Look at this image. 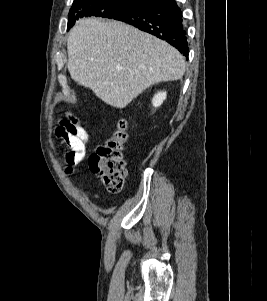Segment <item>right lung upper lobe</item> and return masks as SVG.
<instances>
[{"instance_id":"cb5924a9","label":"right lung upper lobe","mask_w":267,"mask_h":301,"mask_svg":"<svg viewBox=\"0 0 267 301\" xmlns=\"http://www.w3.org/2000/svg\"><path fill=\"white\" fill-rule=\"evenodd\" d=\"M147 4H149V3H153V2H155V1H157V0H144Z\"/></svg>"}]
</instances>
